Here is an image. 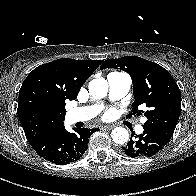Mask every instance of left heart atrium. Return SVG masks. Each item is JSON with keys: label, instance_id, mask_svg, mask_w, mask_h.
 <instances>
[{"label": "left heart atrium", "instance_id": "obj_1", "mask_svg": "<svg viewBox=\"0 0 196 196\" xmlns=\"http://www.w3.org/2000/svg\"><path fill=\"white\" fill-rule=\"evenodd\" d=\"M114 111L113 110H108L106 113H105V118H109L113 115Z\"/></svg>", "mask_w": 196, "mask_h": 196}]
</instances>
